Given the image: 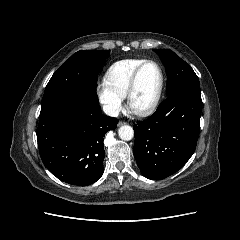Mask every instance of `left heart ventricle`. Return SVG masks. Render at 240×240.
<instances>
[{
	"label": "left heart ventricle",
	"instance_id": "b2bd125f",
	"mask_svg": "<svg viewBox=\"0 0 240 240\" xmlns=\"http://www.w3.org/2000/svg\"><path fill=\"white\" fill-rule=\"evenodd\" d=\"M159 84V73L153 64L146 65L138 78L137 87L133 95V105L142 108L153 99Z\"/></svg>",
	"mask_w": 240,
	"mask_h": 240
}]
</instances>
